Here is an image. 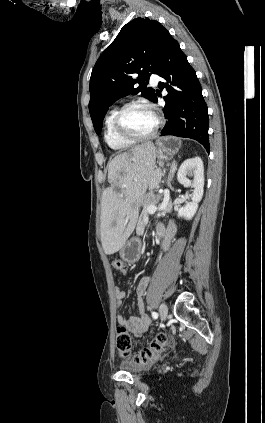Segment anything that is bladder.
<instances>
[{"label": "bladder", "mask_w": 265, "mask_h": 423, "mask_svg": "<svg viewBox=\"0 0 265 423\" xmlns=\"http://www.w3.org/2000/svg\"><path fill=\"white\" fill-rule=\"evenodd\" d=\"M156 358H157V357H156ZM156 358H155V359H156ZM121 367H122V368H124L125 370H127L128 372H130V373H134V374L139 373V372H141V371H143V370H145V369H146V366H143V367H137V368H129V367L125 366V365H122Z\"/></svg>", "instance_id": "bladder-1"}]
</instances>
